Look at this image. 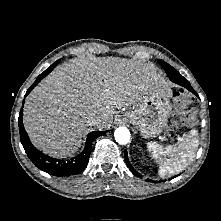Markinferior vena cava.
I'll use <instances>...</instances> for the list:
<instances>
[{
	"instance_id": "1",
	"label": "inferior vena cava",
	"mask_w": 221,
	"mask_h": 221,
	"mask_svg": "<svg viewBox=\"0 0 221 221\" xmlns=\"http://www.w3.org/2000/svg\"><path fill=\"white\" fill-rule=\"evenodd\" d=\"M99 123H100V119L97 118V117H92V118H90V119L87 121V124H88L89 126H91V125H99Z\"/></svg>"
}]
</instances>
